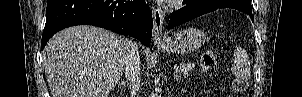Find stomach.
Masks as SVG:
<instances>
[{"label": "stomach", "instance_id": "0dacf381", "mask_svg": "<svg viewBox=\"0 0 302 97\" xmlns=\"http://www.w3.org/2000/svg\"><path fill=\"white\" fill-rule=\"evenodd\" d=\"M205 41L206 36L201 30L187 28L169 37L166 42L157 43V46L168 53L189 54L201 48Z\"/></svg>", "mask_w": 302, "mask_h": 97}]
</instances>
